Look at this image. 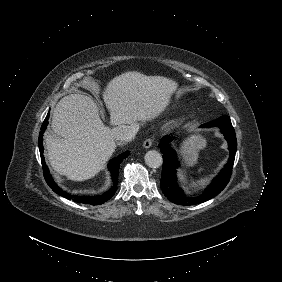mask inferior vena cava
Here are the masks:
<instances>
[{"label":"inferior vena cava","instance_id":"1","mask_svg":"<svg viewBox=\"0 0 282 282\" xmlns=\"http://www.w3.org/2000/svg\"><path fill=\"white\" fill-rule=\"evenodd\" d=\"M137 129L127 125H121L113 129V135L120 142H130L136 135Z\"/></svg>","mask_w":282,"mask_h":282}]
</instances>
